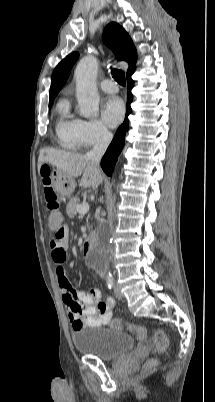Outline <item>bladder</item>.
Returning a JSON list of instances; mask_svg holds the SVG:
<instances>
[{
  "mask_svg": "<svg viewBox=\"0 0 215 402\" xmlns=\"http://www.w3.org/2000/svg\"><path fill=\"white\" fill-rule=\"evenodd\" d=\"M75 349L102 361L114 360L134 347L133 338L117 329L93 327L72 333Z\"/></svg>",
  "mask_w": 215,
  "mask_h": 402,
  "instance_id": "31cf9c89",
  "label": "bladder"
}]
</instances>
